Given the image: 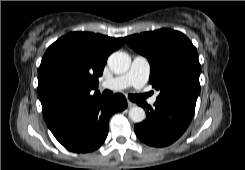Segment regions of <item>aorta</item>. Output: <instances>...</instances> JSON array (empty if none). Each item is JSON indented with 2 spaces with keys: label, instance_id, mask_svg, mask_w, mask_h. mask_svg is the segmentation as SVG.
Here are the masks:
<instances>
[{
  "label": "aorta",
  "instance_id": "762f6f07",
  "mask_svg": "<svg viewBox=\"0 0 245 170\" xmlns=\"http://www.w3.org/2000/svg\"><path fill=\"white\" fill-rule=\"evenodd\" d=\"M131 65L130 56L121 51L112 53L108 58V66L112 72L116 74L125 73L129 70ZM145 111L142 107L134 106L129 110V118L135 122L140 123L145 119Z\"/></svg>",
  "mask_w": 245,
  "mask_h": 170
}]
</instances>
